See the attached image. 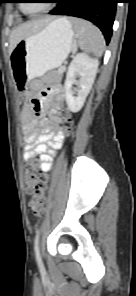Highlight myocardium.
<instances>
[{
    "label": "myocardium",
    "mask_w": 136,
    "mask_h": 296,
    "mask_svg": "<svg viewBox=\"0 0 136 296\" xmlns=\"http://www.w3.org/2000/svg\"><path fill=\"white\" fill-rule=\"evenodd\" d=\"M21 8L22 10L27 13V14H30V15H36L38 13H41V12H44L46 10H48L49 8H45V9H41V10H38V11H32L28 8L27 4L26 3H22L21 4Z\"/></svg>",
    "instance_id": "obj_1"
}]
</instances>
